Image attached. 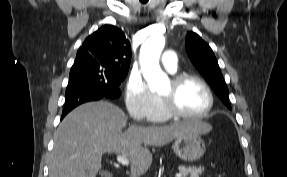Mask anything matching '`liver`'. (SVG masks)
<instances>
[{
	"mask_svg": "<svg viewBox=\"0 0 287 177\" xmlns=\"http://www.w3.org/2000/svg\"><path fill=\"white\" fill-rule=\"evenodd\" d=\"M126 123L124 112L107 101L75 108L56 131L49 177H96L106 152L126 156L131 162V177H139L152 164L147 145L163 146L186 133L212 129L200 120H189L165 126L132 125L122 133Z\"/></svg>",
	"mask_w": 287,
	"mask_h": 177,
	"instance_id": "liver-1",
	"label": "liver"
}]
</instances>
